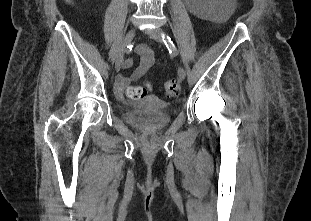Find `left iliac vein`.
<instances>
[{
    "label": "left iliac vein",
    "instance_id": "4c4485c4",
    "mask_svg": "<svg viewBox=\"0 0 311 221\" xmlns=\"http://www.w3.org/2000/svg\"><path fill=\"white\" fill-rule=\"evenodd\" d=\"M147 33H148L150 38L156 40L157 42H160V43L163 42V38H162L163 32L160 28L151 29ZM185 77H186V72H185L184 68L179 67L178 68V79L180 81H183L185 79Z\"/></svg>",
    "mask_w": 311,
    "mask_h": 221
}]
</instances>
